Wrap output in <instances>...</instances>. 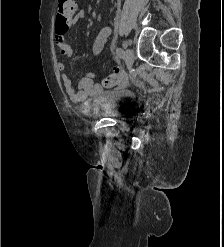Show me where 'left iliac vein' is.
Wrapping results in <instances>:
<instances>
[{
	"mask_svg": "<svg viewBox=\"0 0 224 247\" xmlns=\"http://www.w3.org/2000/svg\"><path fill=\"white\" fill-rule=\"evenodd\" d=\"M125 61L128 66H132L134 62V51L132 49H127L125 51Z\"/></svg>",
	"mask_w": 224,
	"mask_h": 247,
	"instance_id": "left-iliac-vein-1",
	"label": "left iliac vein"
}]
</instances>
